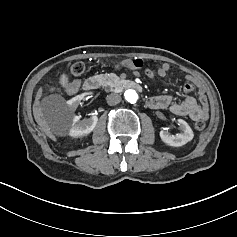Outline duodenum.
Returning a JSON list of instances; mask_svg holds the SVG:
<instances>
[{"mask_svg": "<svg viewBox=\"0 0 237 237\" xmlns=\"http://www.w3.org/2000/svg\"><path fill=\"white\" fill-rule=\"evenodd\" d=\"M124 83L129 88L135 89L137 91H142V86L134 80L127 79V80H125ZM100 85H101V79L99 77L92 76V77H89L88 79H86L83 87L87 91H94V90L98 89L100 87Z\"/></svg>", "mask_w": 237, "mask_h": 237, "instance_id": "duodenum-1", "label": "duodenum"}]
</instances>
